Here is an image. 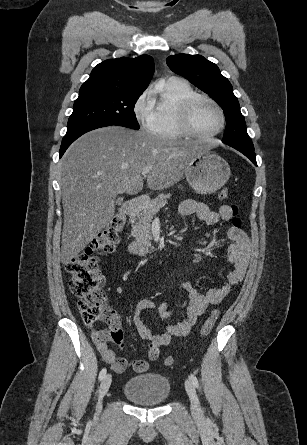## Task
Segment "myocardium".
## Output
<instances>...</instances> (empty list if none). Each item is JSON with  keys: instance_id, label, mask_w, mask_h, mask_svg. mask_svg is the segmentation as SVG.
<instances>
[{"instance_id": "f54148a6", "label": "myocardium", "mask_w": 307, "mask_h": 445, "mask_svg": "<svg viewBox=\"0 0 307 445\" xmlns=\"http://www.w3.org/2000/svg\"><path fill=\"white\" fill-rule=\"evenodd\" d=\"M201 101L208 102L214 105L220 111L222 115V126L218 130L211 133H204L196 125L194 120V109L196 105ZM177 113L182 121L184 128L187 131V134L194 136L193 139H205L215 137L223 132L228 125V116L224 107L218 101L207 95H193L178 107Z\"/></svg>"}]
</instances>
